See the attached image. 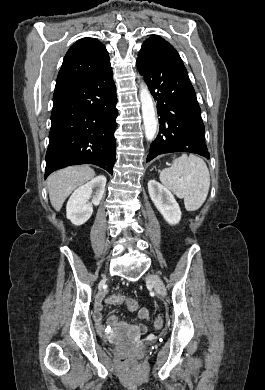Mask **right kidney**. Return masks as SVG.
Instances as JSON below:
<instances>
[{
    "label": "right kidney",
    "instance_id": "obj_1",
    "mask_svg": "<svg viewBox=\"0 0 265 390\" xmlns=\"http://www.w3.org/2000/svg\"><path fill=\"white\" fill-rule=\"evenodd\" d=\"M106 185L105 176H97L77 188L70 196L66 206L67 218L76 226L88 221L93 212L92 205H99ZM94 190V194L92 196ZM92 201L89 202V199Z\"/></svg>",
    "mask_w": 265,
    "mask_h": 390
}]
</instances>
